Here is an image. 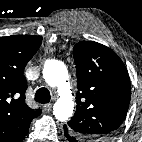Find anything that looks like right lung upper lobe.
<instances>
[{"label":"right lung upper lobe","instance_id":"cb5924a9","mask_svg":"<svg viewBox=\"0 0 142 142\" xmlns=\"http://www.w3.org/2000/svg\"><path fill=\"white\" fill-rule=\"evenodd\" d=\"M41 42L40 36L0 37V142H22L32 119L41 114L40 109L33 110L25 103L23 75Z\"/></svg>","mask_w":142,"mask_h":142}]
</instances>
